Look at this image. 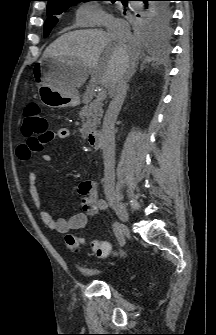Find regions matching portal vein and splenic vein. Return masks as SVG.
Wrapping results in <instances>:
<instances>
[{
  "label": "portal vein and splenic vein",
  "mask_w": 216,
  "mask_h": 335,
  "mask_svg": "<svg viewBox=\"0 0 216 335\" xmlns=\"http://www.w3.org/2000/svg\"><path fill=\"white\" fill-rule=\"evenodd\" d=\"M106 98V90L105 89H102L100 90L98 93H97V97H96V100L98 101H102Z\"/></svg>",
  "instance_id": "obj_1"
}]
</instances>
